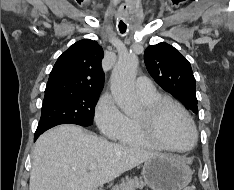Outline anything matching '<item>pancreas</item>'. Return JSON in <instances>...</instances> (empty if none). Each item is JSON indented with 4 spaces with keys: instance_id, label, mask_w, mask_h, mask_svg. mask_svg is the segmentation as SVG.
I'll return each mask as SVG.
<instances>
[{
    "instance_id": "pancreas-1",
    "label": "pancreas",
    "mask_w": 234,
    "mask_h": 190,
    "mask_svg": "<svg viewBox=\"0 0 234 190\" xmlns=\"http://www.w3.org/2000/svg\"><path fill=\"white\" fill-rule=\"evenodd\" d=\"M145 186L143 181H140L137 177L129 178L122 180V182L112 188V190H136V188L142 189Z\"/></svg>"
}]
</instances>
